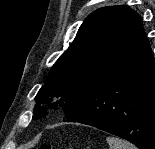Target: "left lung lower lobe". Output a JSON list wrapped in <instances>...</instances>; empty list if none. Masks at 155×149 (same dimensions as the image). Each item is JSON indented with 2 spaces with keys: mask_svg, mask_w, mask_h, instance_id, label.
Returning <instances> with one entry per match:
<instances>
[{
  "mask_svg": "<svg viewBox=\"0 0 155 149\" xmlns=\"http://www.w3.org/2000/svg\"><path fill=\"white\" fill-rule=\"evenodd\" d=\"M64 121L92 125L139 149H155V60L142 19L105 74Z\"/></svg>",
  "mask_w": 155,
  "mask_h": 149,
  "instance_id": "obj_1",
  "label": "left lung lower lobe"
}]
</instances>
